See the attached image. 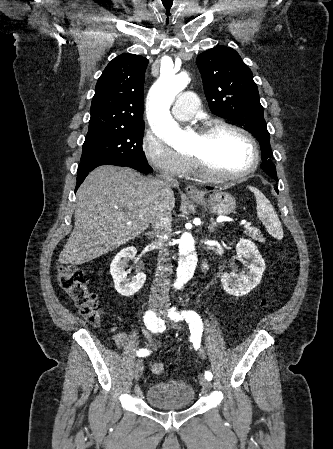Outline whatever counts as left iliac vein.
I'll list each match as a JSON object with an SVG mask.
<instances>
[{
  "instance_id": "obj_1",
  "label": "left iliac vein",
  "mask_w": 333,
  "mask_h": 449,
  "mask_svg": "<svg viewBox=\"0 0 333 449\" xmlns=\"http://www.w3.org/2000/svg\"><path fill=\"white\" fill-rule=\"evenodd\" d=\"M161 314H162V316L166 319L167 318V313H166V311L165 310H162L161 311ZM198 379H199V383H200V385L202 386V388L204 389V390H208V389H210L211 388V383L202 375V374H200L199 376H198Z\"/></svg>"
}]
</instances>
